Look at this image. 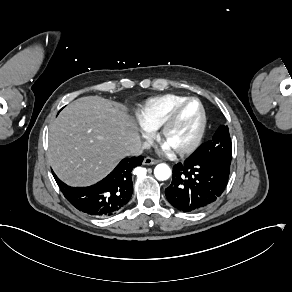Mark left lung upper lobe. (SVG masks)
Masks as SVG:
<instances>
[{"label":"left lung upper lobe","mask_w":292,"mask_h":292,"mask_svg":"<svg viewBox=\"0 0 292 292\" xmlns=\"http://www.w3.org/2000/svg\"><path fill=\"white\" fill-rule=\"evenodd\" d=\"M202 159H232V143L227 126H220L212 139L202 144L195 152Z\"/></svg>","instance_id":"obj_1"}]
</instances>
